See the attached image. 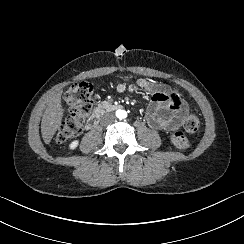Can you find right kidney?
<instances>
[{"label":"right kidney","mask_w":244,"mask_h":244,"mask_svg":"<svg viewBox=\"0 0 244 244\" xmlns=\"http://www.w3.org/2000/svg\"><path fill=\"white\" fill-rule=\"evenodd\" d=\"M80 145V141L79 140H73L69 143L68 145V150L69 151H74L78 148V146Z\"/></svg>","instance_id":"obj_1"}]
</instances>
